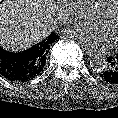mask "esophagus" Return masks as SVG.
Wrapping results in <instances>:
<instances>
[{"label": "esophagus", "mask_w": 118, "mask_h": 118, "mask_svg": "<svg viewBox=\"0 0 118 118\" xmlns=\"http://www.w3.org/2000/svg\"><path fill=\"white\" fill-rule=\"evenodd\" d=\"M82 50L89 56H94L95 55V52L93 50H89V49H86V48H82Z\"/></svg>", "instance_id": "1"}]
</instances>
